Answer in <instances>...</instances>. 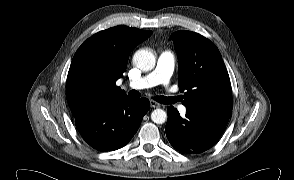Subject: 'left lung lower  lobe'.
<instances>
[{"mask_svg":"<svg viewBox=\"0 0 294 180\" xmlns=\"http://www.w3.org/2000/svg\"><path fill=\"white\" fill-rule=\"evenodd\" d=\"M167 112L165 131L170 144L190 154L211 148L222 135L232 114L229 110L186 107V116L182 118L173 106H169Z\"/></svg>","mask_w":294,"mask_h":180,"instance_id":"1","label":"left lung lower lobe"}]
</instances>
